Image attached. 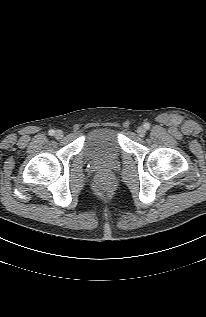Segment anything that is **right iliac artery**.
<instances>
[{
	"mask_svg": "<svg viewBox=\"0 0 206 317\" xmlns=\"http://www.w3.org/2000/svg\"><path fill=\"white\" fill-rule=\"evenodd\" d=\"M48 133H49L50 136H53L55 134V131L53 129H51V130H49Z\"/></svg>",
	"mask_w": 206,
	"mask_h": 317,
	"instance_id": "obj_1",
	"label": "right iliac artery"
}]
</instances>
